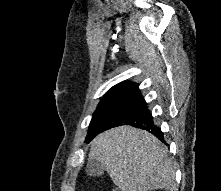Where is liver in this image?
Wrapping results in <instances>:
<instances>
[{
  "label": "liver",
  "instance_id": "1",
  "mask_svg": "<svg viewBox=\"0 0 221 191\" xmlns=\"http://www.w3.org/2000/svg\"><path fill=\"white\" fill-rule=\"evenodd\" d=\"M167 153V147L152 134L120 126L93 139L89 161L101 162L121 191H173L175 169Z\"/></svg>",
  "mask_w": 221,
  "mask_h": 191
}]
</instances>
